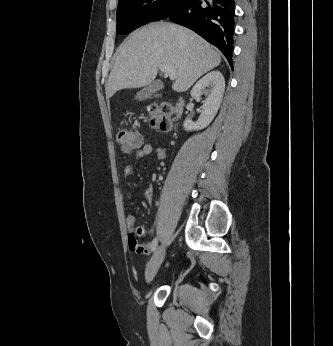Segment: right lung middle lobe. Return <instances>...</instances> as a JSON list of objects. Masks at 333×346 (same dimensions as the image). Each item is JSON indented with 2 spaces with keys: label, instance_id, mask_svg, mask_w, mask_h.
I'll return each instance as SVG.
<instances>
[{
  "label": "right lung middle lobe",
  "instance_id": "dd1d6c3e",
  "mask_svg": "<svg viewBox=\"0 0 333 346\" xmlns=\"http://www.w3.org/2000/svg\"><path fill=\"white\" fill-rule=\"evenodd\" d=\"M184 0H119L117 34H127L149 22L165 19Z\"/></svg>",
  "mask_w": 333,
  "mask_h": 346
}]
</instances>
